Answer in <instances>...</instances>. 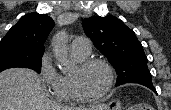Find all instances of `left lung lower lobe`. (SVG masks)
<instances>
[{
	"instance_id": "0a47b994",
	"label": "left lung lower lobe",
	"mask_w": 171,
	"mask_h": 110,
	"mask_svg": "<svg viewBox=\"0 0 171 110\" xmlns=\"http://www.w3.org/2000/svg\"><path fill=\"white\" fill-rule=\"evenodd\" d=\"M146 87H148L149 89H151L152 91H154L157 94L153 84L152 85H147Z\"/></svg>"
}]
</instances>
